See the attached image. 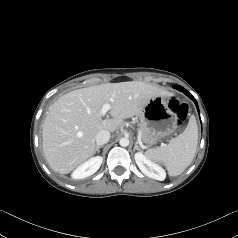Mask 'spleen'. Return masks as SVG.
<instances>
[{"instance_id": "3e777b00", "label": "spleen", "mask_w": 238, "mask_h": 238, "mask_svg": "<svg viewBox=\"0 0 238 238\" xmlns=\"http://www.w3.org/2000/svg\"><path fill=\"white\" fill-rule=\"evenodd\" d=\"M197 144L198 127L192 116L183 133L171 139L168 145L147 150L145 155L149 160L162 163L170 176H177L192 162Z\"/></svg>"}]
</instances>
